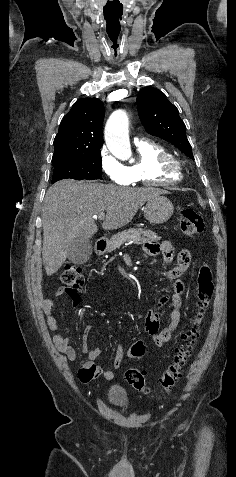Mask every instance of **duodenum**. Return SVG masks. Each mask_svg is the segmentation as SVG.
<instances>
[{"label":"duodenum","mask_w":236,"mask_h":477,"mask_svg":"<svg viewBox=\"0 0 236 477\" xmlns=\"http://www.w3.org/2000/svg\"><path fill=\"white\" fill-rule=\"evenodd\" d=\"M106 246H107V240H99L95 244V250L96 252L101 253L104 251Z\"/></svg>","instance_id":"410a0bca"}]
</instances>
